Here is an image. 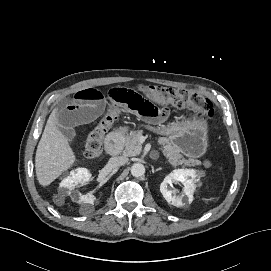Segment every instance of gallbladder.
Segmentation results:
<instances>
[{"instance_id":"1","label":"gallbladder","mask_w":271,"mask_h":271,"mask_svg":"<svg viewBox=\"0 0 271 271\" xmlns=\"http://www.w3.org/2000/svg\"><path fill=\"white\" fill-rule=\"evenodd\" d=\"M61 124L63 123L61 122ZM60 130L69 142H74L76 138V132L72 127L61 126Z\"/></svg>"}]
</instances>
